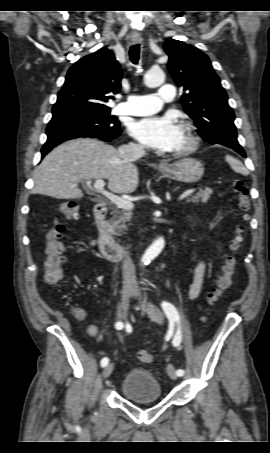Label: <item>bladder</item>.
Segmentation results:
<instances>
[{"label": "bladder", "mask_w": 270, "mask_h": 453, "mask_svg": "<svg viewBox=\"0 0 270 453\" xmlns=\"http://www.w3.org/2000/svg\"><path fill=\"white\" fill-rule=\"evenodd\" d=\"M120 391L125 398L135 403L158 402L162 399L159 380L151 372L137 368L125 374Z\"/></svg>", "instance_id": "31cf9c89"}]
</instances>
